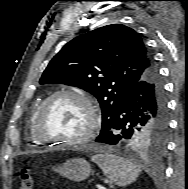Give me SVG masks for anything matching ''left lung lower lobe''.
<instances>
[{
	"instance_id": "obj_1",
	"label": "left lung lower lobe",
	"mask_w": 188,
	"mask_h": 189,
	"mask_svg": "<svg viewBox=\"0 0 188 189\" xmlns=\"http://www.w3.org/2000/svg\"><path fill=\"white\" fill-rule=\"evenodd\" d=\"M149 127L167 129V100L155 65L131 87L109 129L95 141L128 144L135 134Z\"/></svg>"
}]
</instances>
